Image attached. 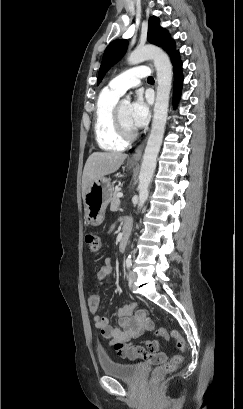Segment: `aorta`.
I'll return each mask as SVG.
<instances>
[{
    "instance_id": "762f6f07",
    "label": "aorta",
    "mask_w": 243,
    "mask_h": 409,
    "mask_svg": "<svg viewBox=\"0 0 243 409\" xmlns=\"http://www.w3.org/2000/svg\"><path fill=\"white\" fill-rule=\"evenodd\" d=\"M145 60H153L157 71L158 86L151 132L145 147L139 174V209L143 207L148 198L149 185L156 168V160L162 144L168 116L173 75L170 59L159 47L151 45L137 47L129 54L127 59L130 65H136ZM130 100V96H126L124 103L129 104Z\"/></svg>"
}]
</instances>
